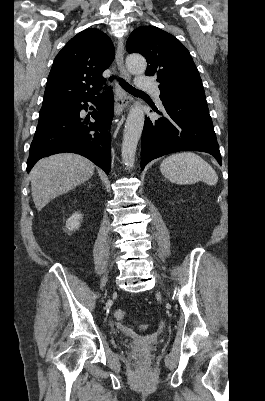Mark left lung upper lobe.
I'll list each match as a JSON object with an SVG mask.
<instances>
[{
  "instance_id": "left-lung-upper-lobe-1",
  "label": "left lung upper lobe",
  "mask_w": 265,
  "mask_h": 401,
  "mask_svg": "<svg viewBox=\"0 0 265 401\" xmlns=\"http://www.w3.org/2000/svg\"><path fill=\"white\" fill-rule=\"evenodd\" d=\"M126 49L146 58L149 64L145 74L157 77L160 97L205 98L199 72L189 51L170 33L154 26L139 27L128 38Z\"/></svg>"
}]
</instances>
